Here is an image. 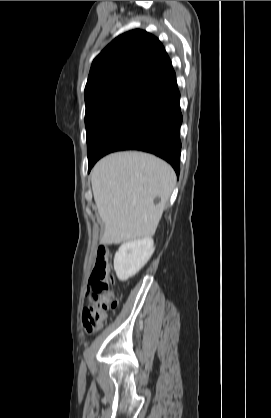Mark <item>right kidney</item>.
I'll use <instances>...</instances> for the list:
<instances>
[{"mask_svg": "<svg viewBox=\"0 0 271 418\" xmlns=\"http://www.w3.org/2000/svg\"><path fill=\"white\" fill-rule=\"evenodd\" d=\"M151 238L123 243L114 257V270L119 280L126 281L148 262L154 252Z\"/></svg>", "mask_w": 271, "mask_h": 418, "instance_id": "1", "label": "right kidney"}]
</instances>
